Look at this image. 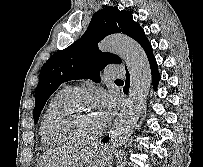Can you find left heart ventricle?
I'll use <instances>...</instances> for the list:
<instances>
[{"mask_svg":"<svg viewBox=\"0 0 203 167\" xmlns=\"http://www.w3.org/2000/svg\"><path fill=\"white\" fill-rule=\"evenodd\" d=\"M58 125L67 134L78 137L92 135L103 126L97 111L86 98H79Z\"/></svg>","mask_w":203,"mask_h":167,"instance_id":"obj_1","label":"left heart ventricle"}]
</instances>
